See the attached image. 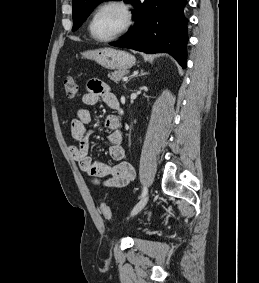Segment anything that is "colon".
<instances>
[{
  "instance_id": "1",
  "label": "colon",
  "mask_w": 259,
  "mask_h": 283,
  "mask_svg": "<svg viewBox=\"0 0 259 283\" xmlns=\"http://www.w3.org/2000/svg\"><path fill=\"white\" fill-rule=\"evenodd\" d=\"M63 86L66 96L69 99L75 98V96L77 95V83L72 76L69 75L64 78ZM100 211L106 218H109L111 216L110 208L105 203L100 205Z\"/></svg>"
}]
</instances>
